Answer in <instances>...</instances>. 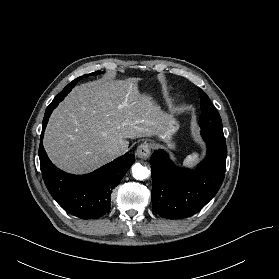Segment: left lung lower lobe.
Listing matches in <instances>:
<instances>
[{"mask_svg": "<svg viewBox=\"0 0 279 279\" xmlns=\"http://www.w3.org/2000/svg\"><path fill=\"white\" fill-rule=\"evenodd\" d=\"M201 135L207 143V156L194 170L175 166L163 150L152 154V208L161 217L180 219L199 212L215 196L224 180L225 140L203 130Z\"/></svg>", "mask_w": 279, "mask_h": 279, "instance_id": "1", "label": "left lung lower lobe"}]
</instances>
